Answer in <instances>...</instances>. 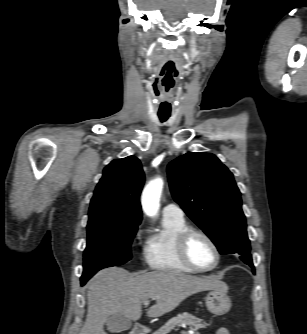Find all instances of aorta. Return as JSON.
Instances as JSON below:
<instances>
[{
  "label": "aorta",
  "instance_id": "obj_1",
  "mask_svg": "<svg viewBox=\"0 0 307 334\" xmlns=\"http://www.w3.org/2000/svg\"><path fill=\"white\" fill-rule=\"evenodd\" d=\"M163 189V180L156 178L150 181L144 188L142 193V207L146 215L154 217L159 210V202Z\"/></svg>",
  "mask_w": 307,
  "mask_h": 334
}]
</instances>
